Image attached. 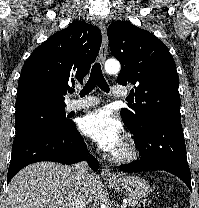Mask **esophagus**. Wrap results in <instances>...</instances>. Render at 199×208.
Wrapping results in <instances>:
<instances>
[{
    "label": "esophagus",
    "instance_id": "esophagus-1",
    "mask_svg": "<svg viewBox=\"0 0 199 208\" xmlns=\"http://www.w3.org/2000/svg\"><path fill=\"white\" fill-rule=\"evenodd\" d=\"M99 28L102 34V45H101V50L99 53V61L101 64H104L106 60V56H107V51H108V39H107V33H106V26L102 21L99 23ZM101 177L110 178V179L116 178V176L110 171V169L107 166H102Z\"/></svg>",
    "mask_w": 199,
    "mask_h": 208
}]
</instances>
